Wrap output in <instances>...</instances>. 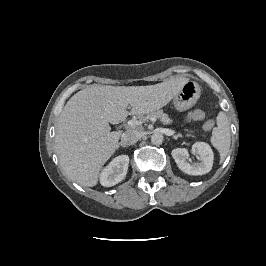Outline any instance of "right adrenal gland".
<instances>
[{"label": "right adrenal gland", "instance_id": "right-adrenal-gland-1", "mask_svg": "<svg viewBox=\"0 0 266 266\" xmlns=\"http://www.w3.org/2000/svg\"><path fill=\"white\" fill-rule=\"evenodd\" d=\"M119 147L127 148V146L124 145V144H122V143H119V144H118L117 149H119Z\"/></svg>", "mask_w": 266, "mask_h": 266}]
</instances>
